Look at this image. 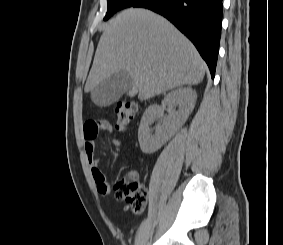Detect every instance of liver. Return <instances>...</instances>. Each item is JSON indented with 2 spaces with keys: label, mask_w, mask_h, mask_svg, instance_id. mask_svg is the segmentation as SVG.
<instances>
[{
  "label": "liver",
  "mask_w": 283,
  "mask_h": 245,
  "mask_svg": "<svg viewBox=\"0 0 283 245\" xmlns=\"http://www.w3.org/2000/svg\"><path fill=\"white\" fill-rule=\"evenodd\" d=\"M206 65L194 45L168 20L129 8L113 18L100 37L85 92L119 71L132 78L128 96L148 99L183 85H197Z\"/></svg>",
  "instance_id": "1"
}]
</instances>
